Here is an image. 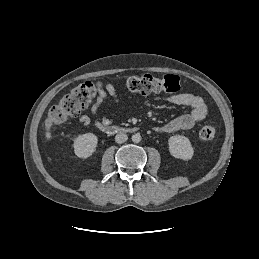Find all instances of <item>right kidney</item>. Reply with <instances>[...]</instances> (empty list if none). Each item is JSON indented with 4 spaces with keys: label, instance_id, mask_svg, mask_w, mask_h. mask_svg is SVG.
Returning <instances> with one entry per match:
<instances>
[{
    "label": "right kidney",
    "instance_id": "right-kidney-1",
    "mask_svg": "<svg viewBox=\"0 0 259 259\" xmlns=\"http://www.w3.org/2000/svg\"><path fill=\"white\" fill-rule=\"evenodd\" d=\"M97 143L98 138L93 133L79 135L74 140V153L77 157L86 159L95 152Z\"/></svg>",
    "mask_w": 259,
    "mask_h": 259
}]
</instances>
